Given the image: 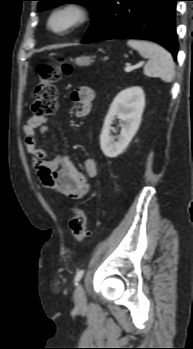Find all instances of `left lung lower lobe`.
<instances>
[{"instance_id": "obj_1", "label": "left lung lower lobe", "mask_w": 193, "mask_h": 349, "mask_svg": "<svg viewBox=\"0 0 193 349\" xmlns=\"http://www.w3.org/2000/svg\"><path fill=\"white\" fill-rule=\"evenodd\" d=\"M176 1L178 0H106L82 43L109 39H145L162 45L176 59Z\"/></svg>"}]
</instances>
